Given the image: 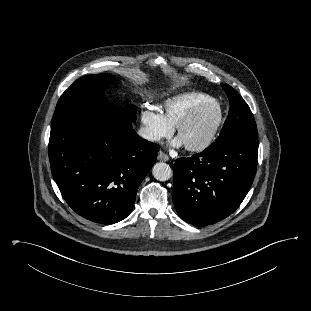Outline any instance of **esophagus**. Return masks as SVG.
Masks as SVG:
<instances>
[{
    "instance_id": "obj_1",
    "label": "esophagus",
    "mask_w": 311,
    "mask_h": 311,
    "mask_svg": "<svg viewBox=\"0 0 311 311\" xmlns=\"http://www.w3.org/2000/svg\"><path fill=\"white\" fill-rule=\"evenodd\" d=\"M158 160L159 161H168L169 160V156L167 154H165L162 151H159L158 153Z\"/></svg>"
}]
</instances>
